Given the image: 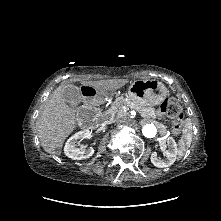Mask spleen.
Masks as SVG:
<instances>
[{"label":"spleen","instance_id":"obj_1","mask_svg":"<svg viewBox=\"0 0 221 221\" xmlns=\"http://www.w3.org/2000/svg\"><path fill=\"white\" fill-rule=\"evenodd\" d=\"M191 142H192V133L190 131V126L188 125L186 128H184L183 135L179 141L182 154H184V152L190 147Z\"/></svg>","mask_w":221,"mask_h":221}]
</instances>
